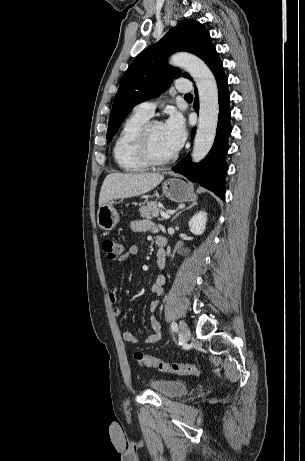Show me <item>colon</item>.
<instances>
[{
  "mask_svg": "<svg viewBox=\"0 0 305 461\" xmlns=\"http://www.w3.org/2000/svg\"><path fill=\"white\" fill-rule=\"evenodd\" d=\"M103 249L110 259H118L124 254L125 243L117 239H105ZM134 358L138 363L159 371L187 376H199L201 374V367L195 364L168 362L156 359L140 351L135 352Z\"/></svg>",
  "mask_w": 305,
  "mask_h": 461,
  "instance_id": "5ec220e1",
  "label": "colon"
}]
</instances>
